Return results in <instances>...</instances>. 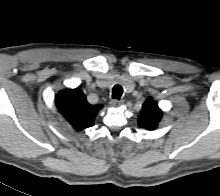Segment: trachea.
I'll return each instance as SVG.
<instances>
[{"label": "trachea", "instance_id": "3493384b", "mask_svg": "<svg viewBox=\"0 0 220 196\" xmlns=\"http://www.w3.org/2000/svg\"><path fill=\"white\" fill-rule=\"evenodd\" d=\"M122 93H123L122 86L117 84L113 87L112 98L119 100L120 97L122 96Z\"/></svg>", "mask_w": 220, "mask_h": 196}]
</instances>
